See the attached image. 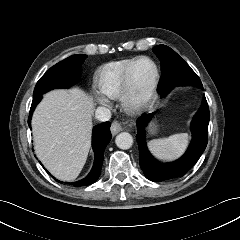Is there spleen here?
Listing matches in <instances>:
<instances>
[{"label": "spleen", "mask_w": 240, "mask_h": 240, "mask_svg": "<svg viewBox=\"0 0 240 240\" xmlns=\"http://www.w3.org/2000/svg\"><path fill=\"white\" fill-rule=\"evenodd\" d=\"M188 134L179 133L167 138L154 139L148 142L151 153L160 160H173L179 157L188 145Z\"/></svg>", "instance_id": "3e777b00"}]
</instances>
